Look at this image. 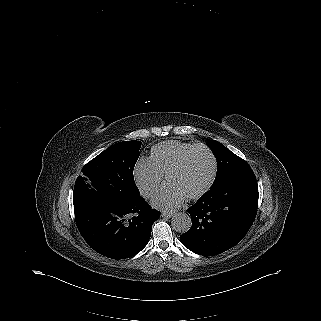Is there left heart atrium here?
Wrapping results in <instances>:
<instances>
[{
	"label": "left heart atrium",
	"instance_id": "left-heart-atrium-1",
	"mask_svg": "<svg viewBox=\"0 0 321 321\" xmlns=\"http://www.w3.org/2000/svg\"><path fill=\"white\" fill-rule=\"evenodd\" d=\"M184 194L178 190L164 189L153 199V206L160 210H174L181 206Z\"/></svg>",
	"mask_w": 321,
	"mask_h": 321
}]
</instances>
